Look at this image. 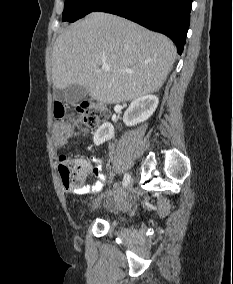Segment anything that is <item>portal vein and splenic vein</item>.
<instances>
[{
  "label": "portal vein and splenic vein",
  "mask_w": 233,
  "mask_h": 284,
  "mask_svg": "<svg viewBox=\"0 0 233 284\" xmlns=\"http://www.w3.org/2000/svg\"><path fill=\"white\" fill-rule=\"evenodd\" d=\"M103 71H110V66L108 64H102ZM126 72H130V70H125Z\"/></svg>",
  "instance_id": "portal-vein-and-splenic-vein-1"
}]
</instances>
